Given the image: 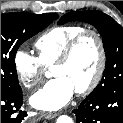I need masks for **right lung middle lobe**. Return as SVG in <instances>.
Here are the masks:
<instances>
[{
  "label": "right lung middle lobe",
  "mask_w": 123,
  "mask_h": 123,
  "mask_svg": "<svg viewBox=\"0 0 123 123\" xmlns=\"http://www.w3.org/2000/svg\"><path fill=\"white\" fill-rule=\"evenodd\" d=\"M58 18L55 13L1 14V91L21 90L15 66L20 45Z\"/></svg>",
  "instance_id": "dd1d6c3e"
}]
</instances>
